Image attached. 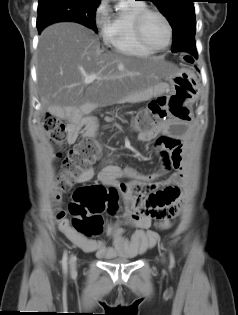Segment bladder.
<instances>
[{
	"instance_id": "31cf9c89",
	"label": "bladder",
	"mask_w": 238,
	"mask_h": 315,
	"mask_svg": "<svg viewBox=\"0 0 238 315\" xmlns=\"http://www.w3.org/2000/svg\"><path fill=\"white\" fill-rule=\"evenodd\" d=\"M132 261V258H123L115 261L116 263H129Z\"/></svg>"
}]
</instances>
